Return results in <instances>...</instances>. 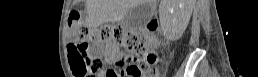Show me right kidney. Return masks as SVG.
Returning <instances> with one entry per match:
<instances>
[{"instance_id":"right-kidney-1","label":"right kidney","mask_w":258,"mask_h":77,"mask_svg":"<svg viewBox=\"0 0 258 77\" xmlns=\"http://www.w3.org/2000/svg\"><path fill=\"white\" fill-rule=\"evenodd\" d=\"M183 0H180L182 2ZM168 3H164L161 8L164 11L171 12V15H169V18L171 20L170 24L167 25V36L171 40H177L179 39L182 34L184 33V30L186 28V25H183L182 23H178V20L175 18V11L173 6L167 5ZM181 6V4H180ZM192 9V8H191Z\"/></svg>"}]
</instances>
